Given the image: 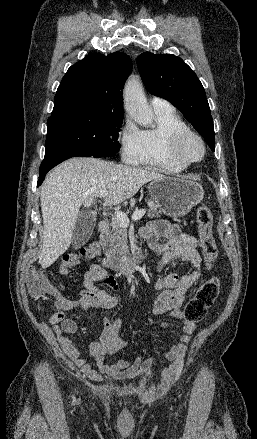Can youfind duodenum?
<instances>
[{"instance_id": "duodenum-1", "label": "duodenum", "mask_w": 257, "mask_h": 439, "mask_svg": "<svg viewBox=\"0 0 257 439\" xmlns=\"http://www.w3.org/2000/svg\"><path fill=\"white\" fill-rule=\"evenodd\" d=\"M109 230V224L105 220H100L98 222V231L102 238H104ZM140 262V255L137 254L133 257L128 258L126 261L117 264L114 262H111L110 260H105L104 265L108 267H114L117 269L118 272L122 273L123 275H129L136 271V267L138 266Z\"/></svg>"}]
</instances>
